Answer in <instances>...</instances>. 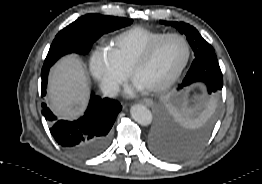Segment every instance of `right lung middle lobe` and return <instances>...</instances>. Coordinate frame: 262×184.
Segmentation results:
<instances>
[{
	"label": "right lung middle lobe",
	"mask_w": 262,
	"mask_h": 184,
	"mask_svg": "<svg viewBox=\"0 0 262 184\" xmlns=\"http://www.w3.org/2000/svg\"><path fill=\"white\" fill-rule=\"evenodd\" d=\"M132 19L88 14L61 30L53 40L42 69L50 68L68 53L87 54L103 34L128 26Z\"/></svg>",
	"instance_id": "dd1d6c3e"
}]
</instances>
